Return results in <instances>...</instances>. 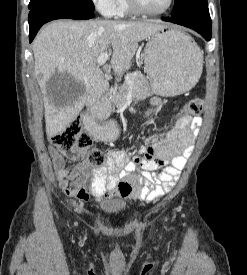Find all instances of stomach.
<instances>
[{
    "label": "stomach",
    "mask_w": 247,
    "mask_h": 275,
    "mask_svg": "<svg viewBox=\"0 0 247 275\" xmlns=\"http://www.w3.org/2000/svg\"><path fill=\"white\" fill-rule=\"evenodd\" d=\"M143 58L151 89L160 96H176L189 91L202 72L199 47L176 29H163L150 36ZM97 134L105 140L116 138L109 127H98Z\"/></svg>",
    "instance_id": "1"
}]
</instances>
